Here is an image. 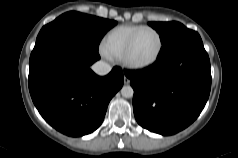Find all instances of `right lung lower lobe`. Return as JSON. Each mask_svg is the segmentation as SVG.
<instances>
[{
	"label": "right lung lower lobe",
	"instance_id": "obj_1",
	"mask_svg": "<svg viewBox=\"0 0 238 158\" xmlns=\"http://www.w3.org/2000/svg\"><path fill=\"white\" fill-rule=\"evenodd\" d=\"M100 58L76 39L52 34L36 42L29 60V91L42 117L72 137L96 130L123 85L119 67L100 77L89 66Z\"/></svg>",
	"mask_w": 238,
	"mask_h": 158
}]
</instances>
